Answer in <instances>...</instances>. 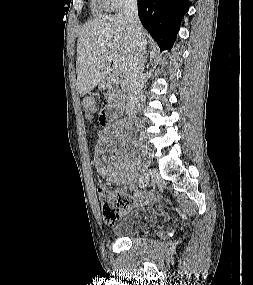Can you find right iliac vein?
<instances>
[{
  "label": "right iliac vein",
  "instance_id": "1",
  "mask_svg": "<svg viewBox=\"0 0 253 285\" xmlns=\"http://www.w3.org/2000/svg\"><path fill=\"white\" fill-rule=\"evenodd\" d=\"M149 183V175L144 173L142 177L139 179V185L141 187H145Z\"/></svg>",
  "mask_w": 253,
  "mask_h": 285
}]
</instances>
